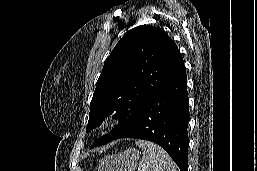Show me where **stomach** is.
Returning <instances> with one entry per match:
<instances>
[{"label":"stomach","mask_w":257,"mask_h":171,"mask_svg":"<svg viewBox=\"0 0 257 171\" xmlns=\"http://www.w3.org/2000/svg\"><path fill=\"white\" fill-rule=\"evenodd\" d=\"M139 157V152L134 148L105 156L100 161L98 171H135Z\"/></svg>","instance_id":"0dacf381"}]
</instances>
